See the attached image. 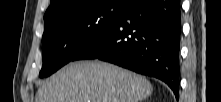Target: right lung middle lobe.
I'll return each mask as SVG.
<instances>
[{
  "instance_id": "1",
  "label": "right lung middle lobe",
  "mask_w": 221,
  "mask_h": 102,
  "mask_svg": "<svg viewBox=\"0 0 221 102\" xmlns=\"http://www.w3.org/2000/svg\"><path fill=\"white\" fill-rule=\"evenodd\" d=\"M130 2L83 0L45 20L40 77H47L73 61L83 48L121 18Z\"/></svg>"
}]
</instances>
